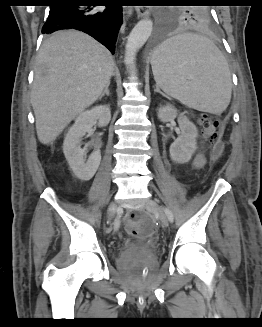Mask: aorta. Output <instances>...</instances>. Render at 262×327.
<instances>
[{
	"mask_svg": "<svg viewBox=\"0 0 262 327\" xmlns=\"http://www.w3.org/2000/svg\"><path fill=\"white\" fill-rule=\"evenodd\" d=\"M153 29L150 19L139 21L130 32L125 47V64L131 75L135 74V60L139 49L146 43Z\"/></svg>",
	"mask_w": 262,
	"mask_h": 327,
	"instance_id": "1",
	"label": "aorta"
}]
</instances>
